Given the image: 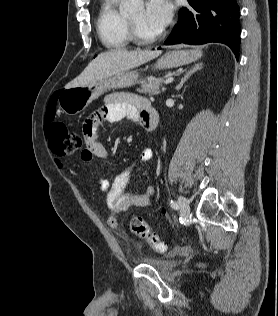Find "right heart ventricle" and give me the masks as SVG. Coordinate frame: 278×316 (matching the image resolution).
<instances>
[{"instance_id":"obj_1","label":"right heart ventricle","mask_w":278,"mask_h":316,"mask_svg":"<svg viewBox=\"0 0 278 316\" xmlns=\"http://www.w3.org/2000/svg\"><path fill=\"white\" fill-rule=\"evenodd\" d=\"M122 2L101 0L96 26L101 43L108 49H123L131 42L127 17L120 11Z\"/></svg>"}]
</instances>
